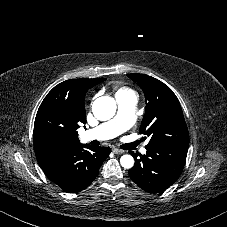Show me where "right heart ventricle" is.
<instances>
[{"label": "right heart ventricle", "mask_w": 227, "mask_h": 227, "mask_svg": "<svg viewBox=\"0 0 227 227\" xmlns=\"http://www.w3.org/2000/svg\"><path fill=\"white\" fill-rule=\"evenodd\" d=\"M112 90L114 92L117 102L130 96H136V93L132 88L121 82L114 83L112 85Z\"/></svg>", "instance_id": "1"}]
</instances>
